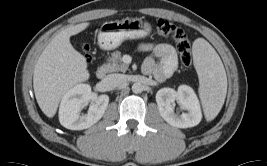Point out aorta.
Masks as SVG:
<instances>
[{"mask_svg": "<svg viewBox=\"0 0 267 166\" xmlns=\"http://www.w3.org/2000/svg\"><path fill=\"white\" fill-rule=\"evenodd\" d=\"M133 93H141L143 91V85L139 82H136L132 85Z\"/></svg>", "mask_w": 267, "mask_h": 166, "instance_id": "aorta-1", "label": "aorta"}]
</instances>
